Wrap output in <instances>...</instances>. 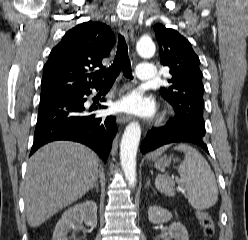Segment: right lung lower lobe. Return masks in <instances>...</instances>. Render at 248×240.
<instances>
[{
	"label": "right lung lower lobe",
	"instance_id": "98d812e1",
	"mask_svg": "<svg viewBox=\"0 0 248 240\" xmlns=\"http://www.w3.org/2000/svg\"><path fill=\"white\" fill-rule=\"evenodd\" d=\"M98 87L91 88L98 89ZM91 88L68 95L40 99L30 155L48 142L71 140L89 146L106 162L117 132L115 117L88 114V110L84 107L86 101L84 96L91 94Z\"/></svg>",
	"mask_w": 248,
	"mask_h": 240
}]
</instances>
